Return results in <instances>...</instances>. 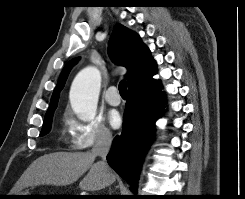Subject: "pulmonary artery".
Returning a JSON list of instances; mask_svg holds the SVG:
<instances>
[{"mask_svg": "<svg viewBox=\"0 0 245 199\" xmlns=\"http://www.w3.org/2000/svg\"><path fill=\"white\" fill-rule=\"evenodd\" d=\"M105 100L112 106H118L121 103V98L118 95V90L115 86H110L105 92Z\"/></svg>", "mask_w": 245, "mask_h": 199, "instance_id": "pulmonary-artery-1", "label": "pulmonary artery"}]
</instances>
